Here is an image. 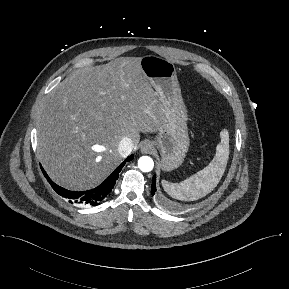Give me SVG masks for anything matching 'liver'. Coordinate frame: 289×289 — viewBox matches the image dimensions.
Wrapping results in <instances>:
<instances>
[{
  "instance_id": "6515ba94",
  "label": "liver",
  "mask_w": 289,
  "mask_h": 289,
  "mask_svg": "<svg viewBox=\"0 0 289 289\" xmlns=\"http://www.w3.org/2000/svg\"><path fill=\"white\" fill-rule=\"evenodd\" d=\"M165 120L158 93L140 58L120 57L66 78L47 96L37 118V153L50 178L74 191L103 182L123 161L124 137L157 132Z\"/></svg>"
}]
</instances>
